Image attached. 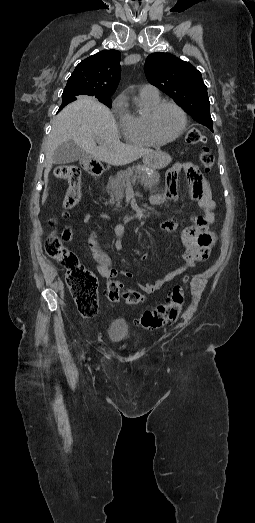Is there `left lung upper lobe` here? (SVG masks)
<instances>
[{"instance_id": "5c2ea615", "label": "left lung upper lobe", "mask_w": 255, "mask_h": 523, "mask_svg": "<svg viewBox=\"0 0 255 523\" xmlns=\"http://www.w3.org/2000/svg\"><path fill=\"white\" fill-rule=\"evenodd\" d=\"M150 84L172 97L197 122L213 132L207 87L190 63L166 53H153L145 63Z\"/></svg>"}]
</instances>
